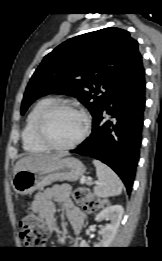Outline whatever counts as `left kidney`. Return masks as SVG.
I'll return each mask as SVG.
<instances>
[{
  "label": "left kidney",
  "instance_id": "5707ae66",
  "mask_svg": "<svg viewBox=\"0 0 162 261\" xmlns=\"http://www.w3.org/2000/svg\"><path fill=\"white\" fill-rule=\"evenodd\" d=\"M124 213V209L121 205H113L108 206L103 209L99 214L96 215L95 220L99 221L103 218L110 220L109 224H106L103 229L100 231L101 239L97 242L94 247L96 248H105L109 247L111 242L113 241L117 229L120 225V221L122 219V215ZM86 241L82 240L80 243V247H85Z\"/></svg>",
  "mask_w": 162,
  "mask_h": 261
}]
</instances>
